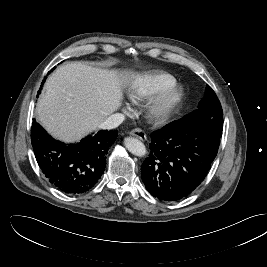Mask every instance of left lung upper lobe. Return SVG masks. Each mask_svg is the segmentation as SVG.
Here are the masks:
<instances>
[{
	"label": "left lung upper lobe",
	"mask_w": 267,
	"mask_h": 267,
	"mask_svg": "<svg viewBox=\"0 0 267 267\" xmlns=\"http://www.w3.org/2000/svg\"><path fill=\"white\" fill-rule=\"evenodd\" d=\"M184 117L205 122L216 132L222 133L223 111L215 92L209 85H207L204 97L198 104V109Z\"/></svg>",
	"instance_id": "left-lung-upper-lobe-1"
}]
</instances>
